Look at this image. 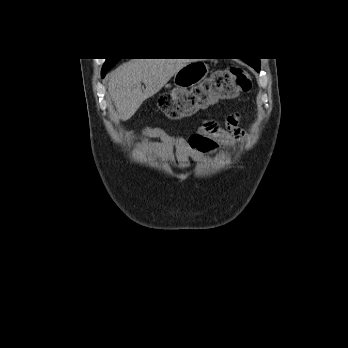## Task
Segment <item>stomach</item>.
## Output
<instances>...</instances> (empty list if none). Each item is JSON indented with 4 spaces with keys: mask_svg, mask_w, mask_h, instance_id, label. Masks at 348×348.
Returning a JSON list of instances; mask_svg holds the SVG:
<instances>
[{
    "mask_svg": "<svg viewBox=\"0 0 348 348\" xmlns=\"http://www.w3.org/2000/svg\"><path fill=\"white\" fill-rule=\"evenodd\" d=\"M209 67L201 61L188 63L174 75V85L181 94V111L185 116L196 113L199 109H205L215 103L217 98L205 97L203 91L196 92L195 86L208 74ZM190 89V90H189Z\"/></svg>",
    "mask_w": 348,
    "mask_h": 348,
    "instance_id": "stomach-1",
    "label": "stomach"
}]
</instances>
